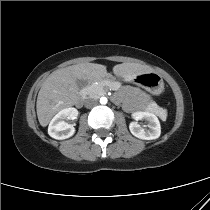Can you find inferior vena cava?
Wrapping results in <instances>:
<instances>
[{
	"instance_id": "obj_1",
	"label": "inferior vena cava",
	"mask_w": 210,
	"mask_h": 210,
	"mask_svg": "<svg viewBox=\"0 0 210 210\" xmlns=\"http://www.w3.org/2000/svg\"><path fill=\"white\" fill-rule=\"evenodd\" d=\"M85 107L86 108H92L97 105V100L95 98H89L85 100Z\"/></svg>"
}]
</instances>
